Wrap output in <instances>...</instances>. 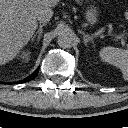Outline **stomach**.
<instances>
[{
  "label": "stomach",
  "instance_id": "obj_1",
  "mask_svg": "<svg viewBox=\"0 0 128 128\" xmlns=\"http://www.w3.org/2000/svg\"><path fill=\"white\" fill-rule=\"evenodd\" d=\"M86 18L87 20L93 24L97 21V12L95 10V8H90L87 12H86Z\"/></svg>",
  "mask_w": 128,
  "mask_h": 128
}]
</instances>
